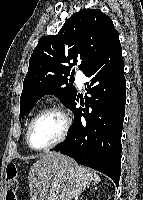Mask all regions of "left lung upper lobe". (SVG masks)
Instances as JSON below:
<instances>
[{
    "label": "left lung upper lobe",
    "instance_id": "obj_1",
    "mask_svg": "<svg viewBox=\"0 0 143 200\" xmlns=\"http://www.w3.org/2000/svg\"><path fill=\"white\" fill-rule=\"evenodd\" d=\"M118 35L109 16L98 9L74 13L57 35L42 37L34 49L20 97V117L46 94L69 107L77 96L69 82L72 66L86 72Z\"/></svg>",
    "mask_w": 143,
    "mask_h": 200
}]
</instances>
